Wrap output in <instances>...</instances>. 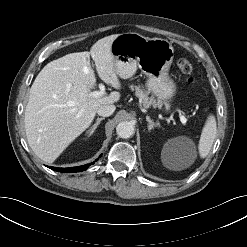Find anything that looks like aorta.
Here are the masks:
<instances>
[{
	"label": "aorta",
	"mask_w": 247,
	"mask_h": 247,
	"mask_svg": "<svg viewBox=\"0 0 247 247\" xmlns=\"http://www.w3.org/2000/svg\"><path fill=\"white\" fill-rule=\"evenodd\" d=\"M117 135L127 139L134 134V125L129 121H122L116 127Z\"/></svg>",
	"instance_id": "obj_1"
}]
</instances>
